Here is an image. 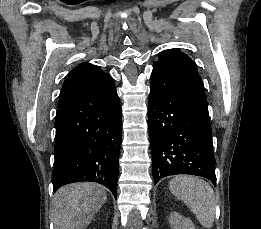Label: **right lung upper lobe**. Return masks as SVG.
Listing matches in <instances>:
<instances>
[{
	"mask_svg": "<svg viewBox=\"0 0 261 229\" xmlns=\"http://www.w3.org/2000/svg\"><path fill=\"white\" fill-rule=\"evenodd\" d=\"M107 76L108 74L102 72L95 65L88 63L79 65L68 74L63 84L59 98V107Z\"/></svg>",
	"mask_w": 261,
	"mask_h": 229,
	"instance_id": "cb5924a9",
	"label": "right lung upper lobe"
}]
</instances>
